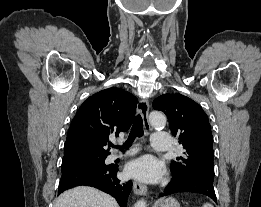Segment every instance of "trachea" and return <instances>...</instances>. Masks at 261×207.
Masks as SVG:
<instances>
[{
	"label": "trachea",
	"instance_id": "obj_1",
	"mask_svg": "<svg viewBox=\"0 0 261 207\" xmlns=\"http://www.w3.org/2000/svg\"><path fill=\"white\" fill-rule=\"evenodd\" d=\"M143 135V121L141 115L138 114L133 121V126L131 128L130 134L126 142L122 146H114L111 144V147H116L122 149H128L130 145L134 142L136 137H142Z\"/></svg>",
	"mask_w": 261,
	"mask_h": 207
}]
</instances>
